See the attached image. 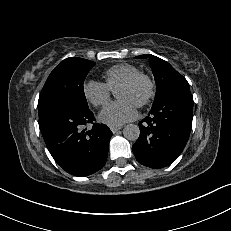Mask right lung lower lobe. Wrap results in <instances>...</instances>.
Returning <instances> with one entry per match:
<instances>
[{"instance_id": "obj_1", "label": "right lung lower lobe", "mask_w": 231, "mask_h": 231, "mask_svg": "<svg viewBox=\"0 0 231 231\" xmlns=\"http://www.w3.org/2000/svg\"><path fill=\"white\" fill-rule=\"evenodd\" d=\"M89 108L57 107L39 116V126L46 146L55 161L69 174L84 177L100 170L106 162L110 129L93 123Z\"/></svg>"}]
</instances>
